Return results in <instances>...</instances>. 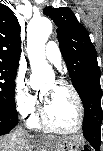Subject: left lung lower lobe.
I'll use <instances>...</instances> for the list:
<instances>
[{"mask_svg": "<svg viewBox=\"0 0 103 151\" xmlns=\"http://www.w3.org/2000/svg\"><path fill=\"white\" fill-rule=\"evenodd\" d=\"M79 95L85 108L83 121L84 136L94 149L99 151L101 144V124L103 119L100 75L88 76Z\"/></svg>", "mask_w": 103, "mask_h": 151, "instance_id": "0a47b994", "label": "left lung lower lobe"}]
</instances>
